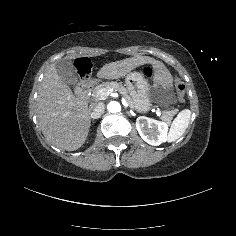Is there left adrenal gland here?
<instances>
[{"label": "left adrenal gland", "instance_id": "obj_1", "mask_svg": "<svg viewBox=\"0 0 236 236\" xmlns=\"http://www.w3.org/2000/svg\"><path fill=\"white\" fill-rule=\"evenodd\" d=\"M128 115H130L129 111L126 112Z\"/></svg>", "mask_w": 236, "mask_h": 236}]
</instances>
